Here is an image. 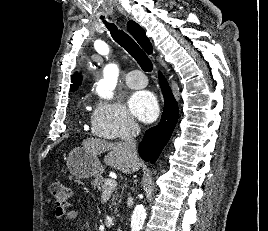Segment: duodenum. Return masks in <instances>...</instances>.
I'll use <instances>...</instances> for the list:
<instances>
[{"label": "duodenum", "instance_id": "duodenum-1", "mask_svg": "<svg viewBox=\"0 0 268 231\" xmlns=\"http://www.w3.org/2000/svg\"><path fill=\"white\" fill-rule=\"evenodd\" d=\"M118 231H123L122 229H119Z\"/></svg>", "mask_w": 268, "mask_h": 231}]
</instances>
